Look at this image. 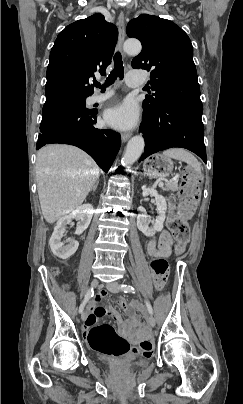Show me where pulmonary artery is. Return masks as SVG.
Wrapping results in <instances>:
<instances>
[{
    "label": "pulmonary artery",
    "mask_w": 243,
    "mask_h": 404,
    "mask_svg": "<svg viewBox=\"0 0 243 404\" xmlns=\"http://www.w3.org/2000/svg\"><path fill=\"white\" fill-rule=\"evenodd\" d=\"M125 83L132 87H136V86L140 85L139 82L132 80V79H128V78L125 79ZM113 93L114 92H113L112 88H107V90L103 93H95L91 96V103L92 104L103 103L106 100H108L109 98H111Z\"/></svg>",
    "instance_id": "pulmonary-artery-1"
}]
</instances>
